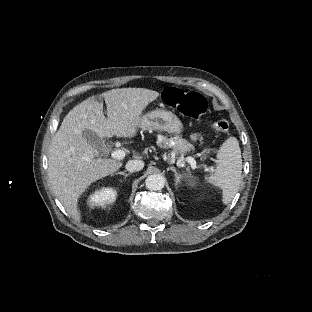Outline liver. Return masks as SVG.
Segmentation results:
<instances>
[{
  "label": "liver",
  "instance_id": "1",
  "mask_svg": "<svg viewBox=\"0 0 312 312\" xmlns=\"http://www.w3.org/2000/svg\"><path fill=\"white\" fill-rule=\"evenodd\" d=\"M159 92L145 88H115L102 93L104 104L91 96L75 106L63 119L48 151V178L54 194L67 212L81 222L79 201L95 182L113 176L123 166L117 159H104L86 140L93 131L100 138H134L138 135L143 112L159 97Z\"/></svg>",
  "mask_w": 312,
  "mask_h": 312
}]
</instances>
